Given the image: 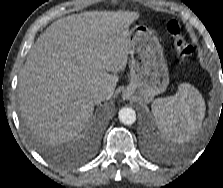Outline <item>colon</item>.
I'll use <instances>...</instances> for the list:
<instances>
[{"label": "colon", "instance_id": "colon-1", "mask_svg": "<svg viewBox=\"0 0 223 188\" xmlns=\"http://www.w3.org/2000/svg\"><path fill=\"white\" fill-rule=\"evenodd\" d=\"M167 30L174 39V46L177 53L183 58H190L196 52V47L187 42L184 36L182 25L175 19L167 22Z\"/></svg>", "mask_w": 223, "mask_h": 188}]
</instances>
